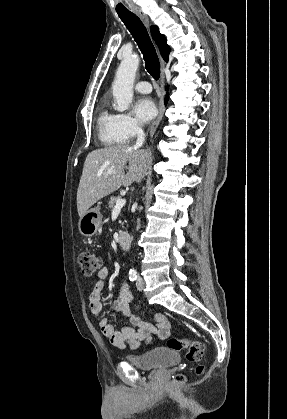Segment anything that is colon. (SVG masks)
<instances>
[{
	"label": "colon",
	"instance_id": "colon-1",
	"mask_svg": "<svg viewBox=\"0 0 287 419\" xmlns=\"http://www.w3.org/2000/svg\"><path fill=\"white\" fill-rule=\"evenodd\" d=\"M79 263L82 268V272L85 276H92L96 272L100 271L103 268V260L101 255L92 251V250H83L79 254ZM169 348L185 352L186 358L190 362L199 363L204 358V345L200 342L193 341L186 338H169L167 341ZM198 374L204 373V366L199 365L196 368ZM185 378L183 376H178L176 378L177 382H184Z\"/></svg>",
	"mask_w": 287,
	"mask_h": 419
}]
</instances>
